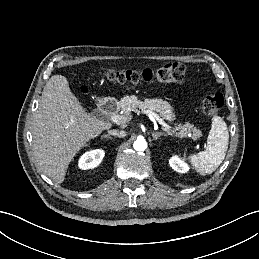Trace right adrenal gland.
Listing matches in <instances>:
<instances>
[{"mask_svg": "<svg viewBox=\"0 0 259 259\" xmlns=\"http://www.w3.org/2000/svg\"><path fill=\"white\" fill-rule=\"evenodd\" d=\"M101 138L112 139L109 134H104L101 136Z\"/></svg>", "mask_w": 259, "mask_h": 259, "instance_id": "2a0ac1e0", "label": "right adrenal gland"}]
</instances>
